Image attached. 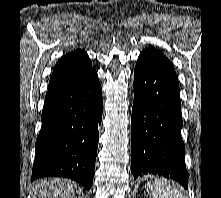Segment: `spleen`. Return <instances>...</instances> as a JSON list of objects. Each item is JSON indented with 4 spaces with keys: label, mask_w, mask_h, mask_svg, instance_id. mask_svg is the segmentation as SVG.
Masks as SVG:
<instances>
[{
    "label": "spleen",
    "mask_w": 221,
    "mask_h": 198,
    "mask_svg": "<svg viewBox=\"0 0 221 198\" xmlns=\"http://www.w3.org/2000/svg\"><path fill=\"white\" fill-rule=\"evenodd\" d=\"M146 191L152 198H182L174 184L164 178L150 181L146 185Z\"/></svg>",
    "instance_id": "spleen-1"
}]
</instances>
